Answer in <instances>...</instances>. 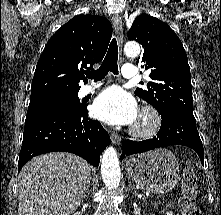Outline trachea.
Returning <instances> with one entry per match:
<instances>
[{"mask_svg":"<svg viewBox=\"0 0 221 215\" xmlns=\"http://www.w3.org/2000/svg\"><path fill=\"white\" fill-rule=\"evenodd\" d=\"M118 45L115 38L112 39L108 52L102 62L101 67L96 71L86 72L88 78L93 79L95 82L102 80L109 71L118 74Z\"/></svg>","mask_w":221,"mask_h":215,"instance_id":"obj_1","label":"trachea"}]
</instances>
